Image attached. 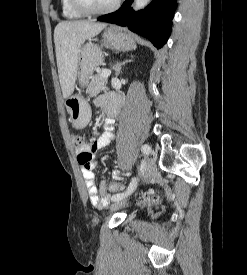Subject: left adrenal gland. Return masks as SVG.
Here are the masks:
<instances>
[{
	"instance_id": "1",
	"label": "left adrenal gland",
	"mask_w": 247,
	"mask_h": 275,
	"mask_svg": "<svg viewBox=\"0 0 247 275\" xmlns=\"http://www.w3.org/2000/svg\"><path fill=\"white\" fill-rule=\"evenodd\" d=\"M132 60H126L124 61L123 63H116L114 66H113V69L115 70L116 72V76H118L121 72V66L124 65L125 63L127 62H131Z\"/></svg>"
}]
</instances>
